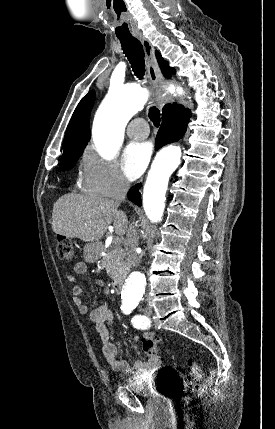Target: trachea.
<instances>
[{
  "label": "trachea",
  "instance_id": "obj_1",
  "mask_svg": "<svg viewBox=\"0 0 275 429\" xmlns=\"http://www.w3.org/2000/svg\"><path fill=\"white\" fill-rule=\"evenodd\" d=\"M122 50L128 58L134 74L139 79H143L145 74L144 50L140 41L135 37H119ZM148 116L155 127L160 125V111L155 106L149 108Z\"/></svg>",
  "mask_w": 275,
  "mask_h": 429
}]
</instances>
